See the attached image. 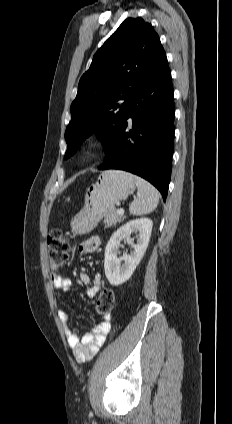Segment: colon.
<instances>
[{"instance_id": "5ec220e1", "label": "colon", "mask_w": 232, "mask_h": 424, "mask_svg": "<svg viewBox=\"0 0 232 424\" xmlns=\"http://www.w3.org/2000/svg\"><path fill=\"white\" fill-rule=\"evenodd\" d=\"M50 268L60 269L67 260L69 251L68 234L61 228H53L47 239ZM115 305V293L109 288L103 289L97 298L95 312L100 316L109 314Z\"/></svg>"}]
</instances>
